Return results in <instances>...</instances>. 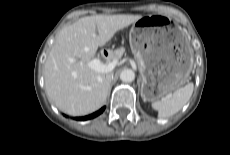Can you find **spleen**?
<instances>
[{
    "instance_id": "spleen-1",
    "label": "spleen",
    "mask_w": 230,
    "mask_h": 155,
    "mask_svg": "<svg viewBox=\"0 0 230 155\" xmlns=\"http://www.w3.org/2000/svg\"><path fill=\"white\" fill-rule=\"evenodd\" d=\"M194 89L193 83H188L184 87H181L174 91L173 94L162 98L159 101L152 103V108L158 111V116L160 118H167L178 111H180L184 105L189 101L192 96Z\"/></svg>"
}]
</instances>
